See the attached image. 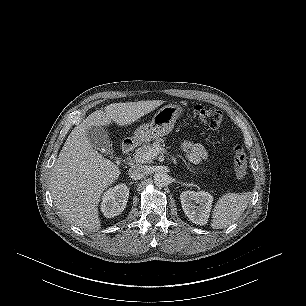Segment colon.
<instances>
[{
	"instance_id": "colon-1",
	"label": "colon",
	"mask_w": 306,
	"mask_h": 306,
	"mask_svg": "<svg viewBox=\"0 0 306 306\" xmlns=\"http://www.w3.org/2000/svg\"><path fill=\"white\" fill-rule=\"evenodd\" d=\"M194 113L207 129L216 130L223 124V115L218 109L204 105H196L194 107ZM233 152V167L235 176L238 180H242L247 173V155L240 144H236L234 146Z\"/></svg>"
}]
</instances>
